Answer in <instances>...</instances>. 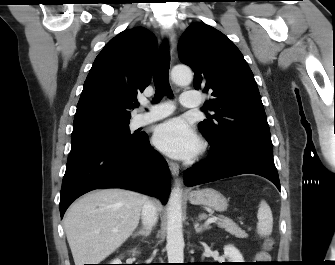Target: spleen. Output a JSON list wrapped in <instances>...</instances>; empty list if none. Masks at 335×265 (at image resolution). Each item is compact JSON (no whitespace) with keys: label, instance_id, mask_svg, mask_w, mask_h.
<instances>
[{"label":"spleen","instance_id":"spleen-1","mask_svg":"<svg viewBox=\"0 0 335 265\" xmlns=\"http://www.w3.org/2000/svg\"><path fill=\"white\" fill-rule=\"evenodd\" d=\"M257 232L260 236H269L273 228V216L269 205L261 201L257 213Z\"/></svg>","mask_w":335,"mask_h":265}]
</instances>
